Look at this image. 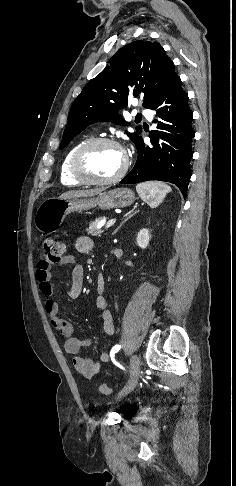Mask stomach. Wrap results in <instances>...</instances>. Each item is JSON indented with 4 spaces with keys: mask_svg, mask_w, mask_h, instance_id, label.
Masks as SVG:
<instances>
[{
    "mask_svg": "<svg viewBox=\"0 0 236 486\" xmlns=\"http://www.w3.org/2000/svg\"><path fill=\"white\" fill-rule=\"evenodd\" d=\"M135 201V194L129 188H116L99 193L90 198H50L44 200L37 208L34 224L42 233L51 234L57 231L64 218L71 212L100 207L103 209L123 208Z\"/></svg>",
    "mask_w": 236,
    "mask_h": 486,
    "instance_id": "stomach-1",
    "label": "stomach"
}]
</instances>
